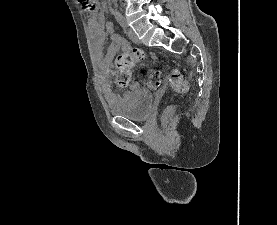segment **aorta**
Here are the masks:
<instances>
[{"label":"aorta","instance_id":"obj_1","mask_svg":"<svg viewBox=\"0 0 277 225\" xmlns=\"http://www.w3.org/2000/svg\"><path fill=\"white\" fill-rule=\"evenodd\" d=\"M114 15L118 18L120 16L119 12L117 11V9L114 10Z\"/></svg>","mask_w":277,"mask_h":225}]
</instances>
